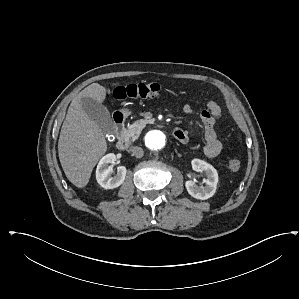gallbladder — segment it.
I'll list each match as a JSON object with an SVG mask.
<instances>
[{
    "label": "gallbladder",
    "instance_id": "gallbladder-1",
    "mask_svg": "<svg viewBox=\"0 0 299 299\" xmlns=\"http://www.w3.org/2000/svg\"><path fill=\"white\" fill-rule=\"evenodd\" d=\"M82 108L90 119H92L104 133H110L114 130V122L108 109L92 98H83L81 100Z\"/></svg>",
    "mask_w": 299,
    "mask_h": 299
}]
</instances>
